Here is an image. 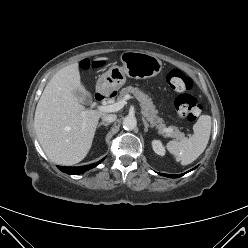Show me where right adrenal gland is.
I'll return each instance as SVG.
<instances>
[{"label": "right adrenal gland", "instance_id": "right-adrenal-gland-1", "mask_svg": "<svg viewBox=\"0 0 248 248\" xmlns=\"http://www.w3.org/2000/svg\"><path fill=\"white\" fill-rule=\"evenodd\" d=\"M109 124H110V123L100 122V123L98 124L97 127L99 128L101 125H104V126L106 127V126H108Z\"/></svg>", "mask_w": 248, "mask_h": 248}]
</instances>
